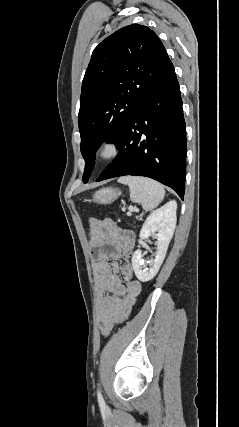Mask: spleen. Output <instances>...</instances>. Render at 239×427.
Wrapping results in <instances>:
<instances>
[{
  "label": "spleen",
  "mask_w": 239,
  "mask_h": 427,
  "mask_svg": "<svg viewBox=\"0 0 239 427\" xmlns=\"http://www.w3.org/2000/svg\"><path fill=\"white\" fill-rule=\"evenodd\" d=\"M118 182L129 186L130 199L141 204L145 211L156 208L165 196L163 186L150 178L125 176L119 178Z\"/></svg>",
  "instance_id": "1"
}]
</instances>
